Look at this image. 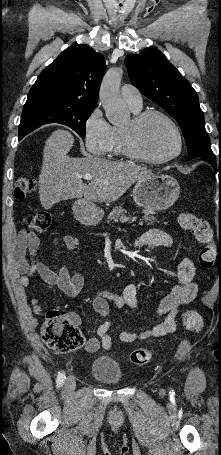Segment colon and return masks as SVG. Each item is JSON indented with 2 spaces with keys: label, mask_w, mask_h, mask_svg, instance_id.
<instances>
[{
  "label": "colon",
  "mask_w": 221,
  "mask_h": 455,
  "mask_svg": "<svg viewBox=\"0 0 221 455\" xmlns=\"http://www.w3.org/2000/svg\"><path fill=\"white\" fill-rule=\"evenodd\" d=\"M36 181L27 176H21L16 180L14 195L16 198H24L36 189ZM30 228L45 232L52 225V217L45 212H37L27 218ZM180 226L190 232L196 240L203 245L199 252V264L203 270L213 267L217 258V247L213 240L212 231L207 221L192 213H181L179 216ZM182 320L184 325L193 331H198L202 327V319L197 311L189 310L183 313ZM44 343L54 352L67 353L80 348L84 344V337L72 321L59 311H50L41 330ZM152 357V352L148 349L134 350L130 359L135 365H145Z\"/></svg>",
  "instance_id": "1"
}]
</instances>
